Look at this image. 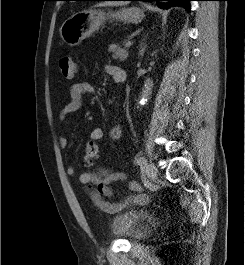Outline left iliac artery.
Here are the masks:
<instances>
[{
  "label": "left iliac artery",
  "mask_w": 245,
  "mask_h": 265,
  "mask_svg": "<svg viewBox=\"0 0 245 265\" xmlns=\"http://www.w3.org/2000/svg\"><path fill=\"white\" fill-rule=\"evenodd\" d=\"M145 163H146V160L144 157H139L136 159V164H138L140 166L144 165Z\"/></svg>",
  "instance_id": "left-iliac-artery-1"
}]
</instances>
